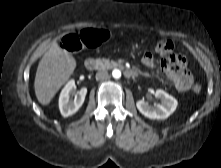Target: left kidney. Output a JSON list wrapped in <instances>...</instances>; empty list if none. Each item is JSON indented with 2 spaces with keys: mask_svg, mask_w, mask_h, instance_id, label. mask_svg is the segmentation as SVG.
I'll return each instance as SVG.
<instances>
[{
  "mask_svg": "<svg viewBox=\"0 0 221 168\" xmlns=\"http://www.w3.org/2000/svg\"><path fill=\"white\" fill-rule=\"evenodd\" d=\"M155 97L161 100V104L151 106L144 100H139L136 103L137 109L149 119L159 120L168 118L175 111L178 104L177 100L162 89L155 91Z\"/></svg>",
  "mask_w": 221,
  "mask_h": 168,
  "instance_id": "1",
  "label": "left kidney"
}]
</instances>
